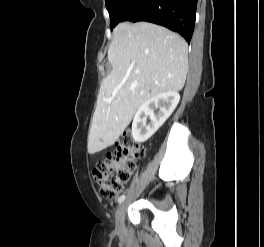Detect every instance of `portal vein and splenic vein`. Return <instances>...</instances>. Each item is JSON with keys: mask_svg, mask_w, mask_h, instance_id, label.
Listing matches in <instances>:
<instances>
[{"mask_svg": "<svg viewBox=\"0 0 264 247\" xmlns=\"http://www.w3.org/2000/svg\"><path fill=\"white\" fill-rule=\"evenodd\" d=\"M114 98H115V96L113 95V96H112V99H114Z\"/></svg>", "mask_w": 264, "mask_h": 247, "instance_id": "obj_1", "label": "portal vein and splenic vein"}]
</instances>
